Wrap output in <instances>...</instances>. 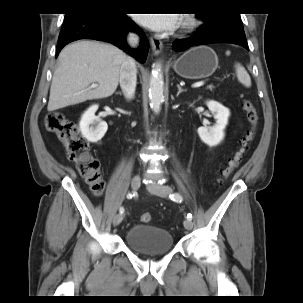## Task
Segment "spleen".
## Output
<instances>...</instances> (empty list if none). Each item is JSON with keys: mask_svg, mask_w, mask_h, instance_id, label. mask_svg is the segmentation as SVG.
<instances>
[{"mask_svg": "<svg viewBox=\"0 0 303 303\" xmlns=\"http://www.w3.org/2000/svg\"><path fill=\"white\" fill-rule=\"evenodd\" d=\"M235 71L238 81L245 87L251 86V78L246 69L239 63L235 64Z\"/></svg>", "mask_w": 303, "mask_h": 303, "instance_id": "obj_1", "label": "spleen"}]
</instances>
